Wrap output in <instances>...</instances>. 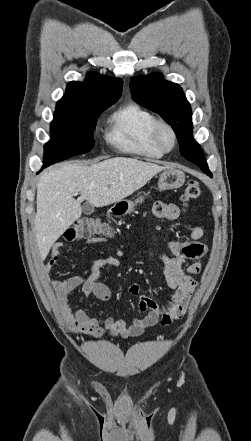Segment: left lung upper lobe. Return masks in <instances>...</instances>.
I'll list each match as a JSON object with an SVG mask.
<instances>
[{
    "instance_id": "obj_1",
    "label": "left lung upper lobe",
    "mask_w": 251,
    "mask_h": 441,
    "mask_svg": "<svg viewBox=\"0 0 251 441\" xmlns=\"http://www.w3.org/2000/svg\"><path fill=\"white\" fill-rule=\"evenodd\" d=\"M130 90L134 101L158 113L176 133L181 155L211 175L203 151L192 136V111L182 88L164 80L162 75L132 78Z\"/></svg>"
}]
</instances>
